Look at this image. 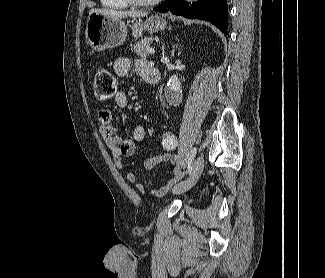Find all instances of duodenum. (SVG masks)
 Returning a JSON list of instances; mask_svg holds the SVG:
<instances>
[{
    "label": "duodenum",
    "mask_w": 325,
    "mask_h": 278,
    "mask_svg": "<svg viewBox=\"0 0 325 278\" xmlns=\"http://www.w3.org/2000/svg\"><path fill=\"white\" fill-rule=\"evenodd\" d=\"M144 79L151 85H158L161 80L160 72L155 69L152 65H149L145 69Z\"/></svg>",
    "instance_id": "obj_1"
}]
</instances>
